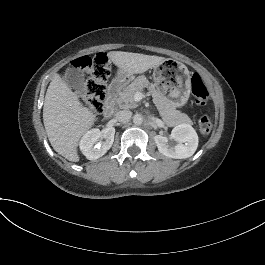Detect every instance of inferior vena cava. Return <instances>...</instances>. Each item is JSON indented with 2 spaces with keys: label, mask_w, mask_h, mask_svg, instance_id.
Wrapping results in <instances>:
<instances>
[{
  "label": "inferior vena cava",
  "mask_w": 265,
  "mask_h": 265,
  "mask_svg": "<svg viewBox=\"0 0 265 265\" xmlns=\"http://www.w3.org/2000/svg\"><path fill=\"white\" fill-rule=\"evenodd\" d=\"M132 116V112L128 110H122L115 114V119L118 122L127 123L130 121V118Z\"/></svg>",
  "instance_id": "inferior-vena-cava-1"
}]
</instances>
